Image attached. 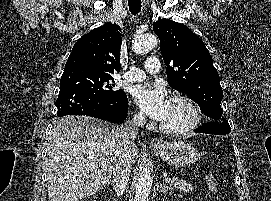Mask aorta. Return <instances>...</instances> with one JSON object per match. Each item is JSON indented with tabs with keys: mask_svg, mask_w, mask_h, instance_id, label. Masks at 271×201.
<instances>
[{
	"mask_svg": "<svg viewBox=\"0 0 271 201\" xmlns=\"http://www.w3.org/2000/svg\"><path fill=\"white\" fill-rule=\"evenodd\" d=\"M157 38L153 34L138 35L133 39V51L137 54H144L155 48ZM152 185L150 170L144 168L139 175L136 184V194L134 201H147Z\"/></svg>",
	"mask_w": 271,
	"mask_h": 201,
	"instance_id": "aorta-1",
	"label": "aorta"
}]
</instances>
